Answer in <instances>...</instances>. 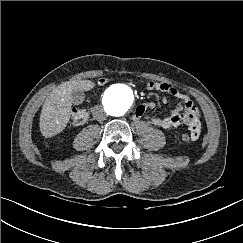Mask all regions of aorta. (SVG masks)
<instances>
[{
    "instance_id": "1",
    "label": "aorta",
    "mask_w": 243,
    "mask_h": 243,
    "mask_svg": "<svg viewBox=\"0 0 243 243\" xmlns=\"http://www.w3.org/2000/svg\"><path fill=\"white\" fill-rule=\"evenodd\" d=\"M106 103L111 107H117L124 111L128 106L123 95L121 94L120 86H113L106 91Z\"/></svg>"
}]
</instances>
